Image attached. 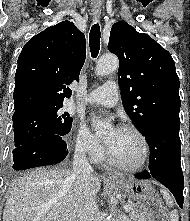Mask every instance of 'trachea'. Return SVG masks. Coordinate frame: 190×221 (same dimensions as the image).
<instances>
[{"instance_id": "obj_1", "label": "trachea", "mask_w": 190, "mask_h": 221, "mask_svg": "<svg viewBox=\"0 0 190 221\" xmlns=\"http://www.w3.org/2000/svg\"><path fill=\"white\" fill-rule=\"evenodd\" d=\"M100 37H101L100 26L98 23H95L91 27V30L89 33V45H90L91 56L93 58H96L99 53Z\"/></svg>"}]
</instances>
